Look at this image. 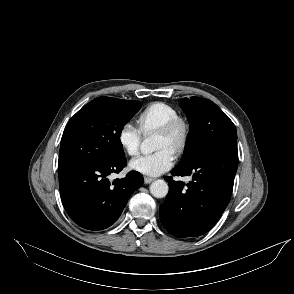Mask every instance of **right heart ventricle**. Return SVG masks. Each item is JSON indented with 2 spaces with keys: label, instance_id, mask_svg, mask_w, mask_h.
I'll list each match as a JSON object with an SVG mask.
<instances>
[{
  "label": "right heart ventricle",
  "instance_id": "e07e8e85",
  "mask_svg": "<svg viewBox=\"0 0 294 294\" xmlns=\"http://www.w3.org/2000/svg\"><path fill=\"white\" fill-rule=\"evenodd\" d=\"M179 117V112L173 106L164 102H153L138 115L137 122L144 133L157 131L169 121Z\"/></svg>",
  "mask_w": 294,
  "mask_h": 294
}]
</instances>
